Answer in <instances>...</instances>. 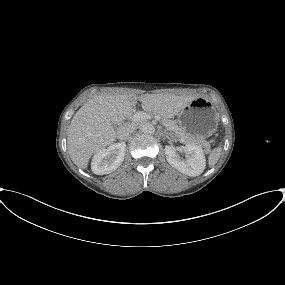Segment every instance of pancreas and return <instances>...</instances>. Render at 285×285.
Returning <instances> with one entry per match:
<instances>
[{
    "label": "pancreas",
    "mask_w": 285,
    "mask_h": 285,
    "mask_svg": "<svg viewBox=\"0 0 285 285\" xmlns=\"http://www.w3.org/2000/svg\"><path fill=\"white\" fill-rule=\"evenodd\" d=\"M162 124L166 127V131L170 135L176 134L179 138H183L184 142L199 145L203 147L206 152L210 151V144L207 141L188 136L174 120L162 119Z\"/></svg>",
    "instance_id": "obj_1"
}]
</instances>
